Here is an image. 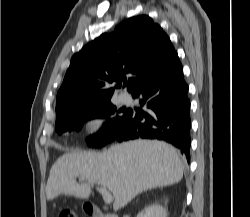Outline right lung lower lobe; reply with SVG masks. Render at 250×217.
I'll use <instances>...</instances> for the list:
<instances>
[{
	"mask_svg": "<svg viewBox=\"0 0 250 217\" xmlns=\"http://www.w3.org/2000/svg\"><path fill=\"white\" fill-rule=\"evenodd\" d=\"M187 93L188 85L177 55L157 76L132 93L148 110H130L129 119L116 139L166 140L177 147L189 162L191 120Z\"/></svg>",
	"mask_w": 250,
	"mask_h": 217,
	"instance_id": "1",
	"label": "right lung lower lobe"
}]
</instances>
